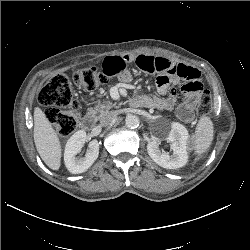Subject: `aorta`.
Here are the masks:
<instances>
[{
	"instance_id": "obj_1",
	"label": "aorta",
	"mask_w": 250,
	"mask_h": 250,
	"mask_svg": "<svg viewBox=\"0 0 250 250\" xmlns=\"http://www.w3.org/2000/svg\"><path fill=\"white\" fill-rule=\"evenodd\" d=\"M140 120L139 117L136 115H128L125 119V125L128 128L135 129L139 126Z\"/></svg>"
}]
</instances>
